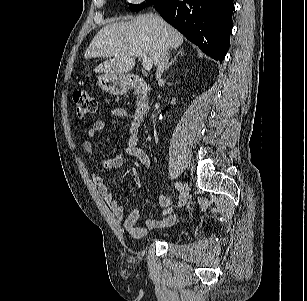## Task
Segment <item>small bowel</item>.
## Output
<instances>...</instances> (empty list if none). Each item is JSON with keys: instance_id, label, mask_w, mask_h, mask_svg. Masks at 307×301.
<instances>
[{"instance_id": "c3829d8e", "label": "small bowel", "mask_w": 307, "mask_h": 301, "mask_svg": "<svg viewBox=\"0 0 307 301\" xmlns=\"http://www.w3.org/2000/svg\"><path fill=\"white\" fill-rule=\"evenodd\" d=\"M112 113L130 122L128 148L120 155L103 160V167L108 169L119 168L123 164L124 157L136 158L147 170L150 169L151 161L147 153L139 147V130L143 122V116L138 111H131L123 107H115ZM107 123L104 120H96L93 126L87 131V138L83 141L82 147L88 154H93L94 144L99 133L105 131ZM88 171L93 183L99 193L104 198L114 217L121 222L123 229L130 236L136 239L143 238L148 231L172 225L176 221V216H170L161 220L147 219L143 226H137L140 217L139 210L134 208L128 215H125L124 208L115 199L109 190L105 179L100 175L94 163L88 164ZM172 198L166 195L157 197V204L162 207L169 206Z\"/></svg>"}]
</instances>
